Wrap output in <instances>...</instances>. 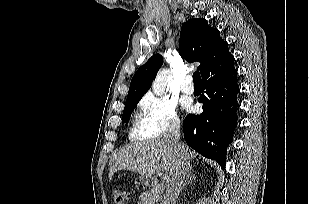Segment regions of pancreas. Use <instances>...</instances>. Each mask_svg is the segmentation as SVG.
<instances>
[{
  "instance_id": "obj_1",
  "label": "pancreas",
  "mask_w": 309,
  "mask_h": 204,
  "mask_svg": "<svg viewBox=\"0 0 309 204\" xmlns=\"http://www.w3.org/2000/svg\"><path fill=\"white\" fill-rule=\"evenodd\" d=\"M163 192V186L156 184L154 188L146 191L142 196V201L149 199L150 201H158L161 198Z\"/></svg>"
}]
</instances>
